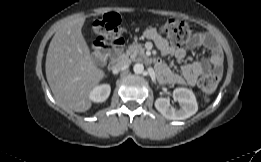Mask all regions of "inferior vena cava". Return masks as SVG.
<instances>
[{
	"label": "inferior vena cava",
	"instance_id": "obj_1",
	"mask_svg": "<svg viewBox=\"0 0 261 162\" xmlns=\"http://www.w3.org/2000/svg\"><path fill=\"white\" fill-rule=\"evenodd\" d=\"M130 64H131V61L129 59H122L113 66V71L117 73V72L127 68Z\"/></svg>",
	"mask_w": 261,
	"mask_h": 162
}]
</instances>
